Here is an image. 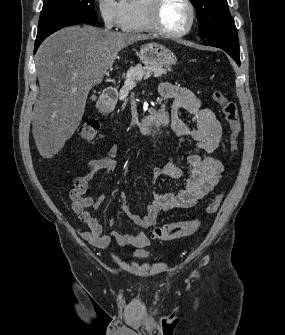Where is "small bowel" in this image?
<instances>
[{"label":"small bowel","instance_id":"small-bowel-1","mask_svg":"<svg viewBox=\"0 0 285 335\" xmlns=\"http://www.w3.org/2000/svg\"><path fill=\"white\" fill-rule=\"evenodd\" d=\"M159 93L163 99L172 101L170 121L174 133L190 140L200 153H193L187 157V175L175 163L153 169L152 178L154 181L161 176H167L171 179H183L184 185L176 193H153L144 216L134 214L126 202V194L121 193V210L143 230L154 226L161 212L171 209H186L196 205L214 189L223 172V164L215 155L220 146L223 129L215 114L210 109L204 108L197 95L188 88L163 83L159 87ZM180 110H185L190 114L192 126L180 116ZM118 153V146H112L107 157L94 159L89 163L85 173L77 178L70 191L71 209L77 218L86 225L87 228L81 229L80 234L90 244L106 247L113 238L121 245L128 244L142 249L149 244L148 236L144 231L136 234H123L113 230L110 235L104 234L102 225L87 210L88 208H101L106 202L105 194L96 198L84 196L88 181L100 170H104L108 174L114 173L117 169L115 158Z\"/></svg>","mask_w":285,"mask_h":335}]
</instances>
